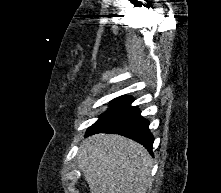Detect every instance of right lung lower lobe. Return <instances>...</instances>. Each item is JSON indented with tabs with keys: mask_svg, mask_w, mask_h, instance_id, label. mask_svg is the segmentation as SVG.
<instances>
[{
	"mask_svg": "<svg viewBox=\"0 0 221 193\" xmlns=\"http://www.w3.org/2000/svg\"><path fill=\"white\" fill-rule=\"evenodd\" d=\"M130 104L97 121L87 130V135L95 133L120 134L139 142L152 154L154 138L149 130V121L143 118L140 111Z\"/></svg>",
	"mask_w": 221,
	"mask_h": 193,
	"instance_id": "1",
	"label": "right lung lower lobe"
}]
</instances>
